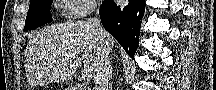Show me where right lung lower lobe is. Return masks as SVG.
I'll use <instances>...</instances> for the list:
<instances>
[{
	"label": "right lung lower lobe",
	"mask_w": 216,
	"mask_h": 90,
	"mask_svg": "<svg viewBox=\"0 0 216 90\" xmlns=\"http://www.w3.org/2000/svg\"><path fill=\"white\" fill-rule=\"evenodd\" d=\"M144 10L143 0L129 1L125 7H119L113 1H104L100 7L102 25L131 58H134L138 47Z\"/></svg>",
	"instance_id": "1"
}]
</instances>
